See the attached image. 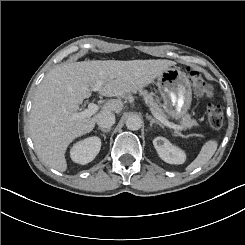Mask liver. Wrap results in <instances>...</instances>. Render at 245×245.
Returning <instances> with one entry per match:
<instances>
[{"label":"liver","instance_id":"1","mask_svg":"<svg viewBox=\"0 0 245 245\" xmlns=\"http://www.w3.org/2000/svg\"><path fill=\"white\" fill-rule=\"evenodd\" d=\"M174 64L170 60H92L56 66L38 85L29 119L38 157L55 170H66L64 154L68 145L91 132L97 122V115L72 119L79 104L91 96L89 86L101 81L99 91L107 97L135 93ZM122 109L121 99L108 101L102 107V111L116 113Z\"/></svg>","mask_w":245,"mask_h":245}]
</instances>
